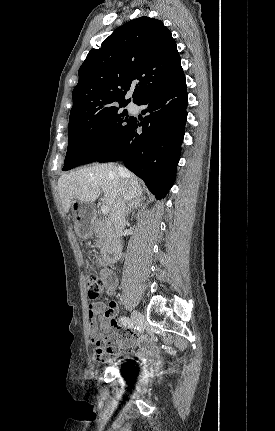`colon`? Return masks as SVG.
Instances as JSON below:
<instances>
[{
  "label": "colon",
  "mask_w": 275,
  "mask_h": 431,
  "mask_svg": "<svg viewBox=\"0 0 275 431\" xmlns=\"http://www.w3.org/2000/svg\"><path fill=\"white\" fill-rule=\"evenodd\" d=\"M95 261L100 266L105 267L104 264H102L98 259H96ZM86 280H87V288H88L89 298L92 300L97 299L105 289V282H104L102 276H100L96 272H90L87 274ZM106 314H107V311L102 315V317L100 319L102 324L105 323Z\"/></svg>",
  "instance_id": "colon-1"
}]
</instances>
